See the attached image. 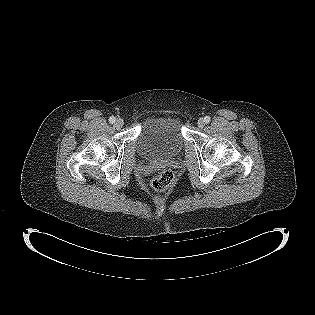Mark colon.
<instances>
[{
  "label": "colon",
  "instance_id": "colon-1",
  "mask_svg": "<svg viewBox=\"0 0 315 315\" xmlns=\"http://www.w3.org/2000/svg\"><path fill=\"white\" fill-rule=\"evenodd\" d=\"M175 175L171 170H163L151 179V186L157 191L167 190L174 182Z\"/></svg>",
  "mask_w": 315,
  "mask_h": 315
}]
</instances>
